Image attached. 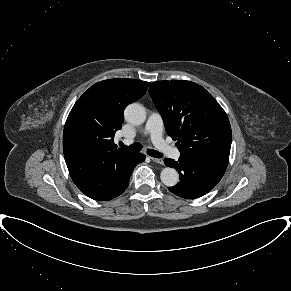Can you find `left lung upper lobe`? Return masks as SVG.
I'll return each mask as SVG.
<instances>
[{"mask_svg":"<svg viewBox=\"0 0 291 291\" xmlns=\"http://www.w3.org/2000/svg\"><path fill=\"white\" fill-rule=\"evenodd\" d=\"M149 94L181 156L229 159L228 117L202 86L185 80L153 82Z\"/></svg>","mask_w":291,"mask_h":291,"instance_id":"obj_1","label":"left lung upper lobe"}]
</instances>
